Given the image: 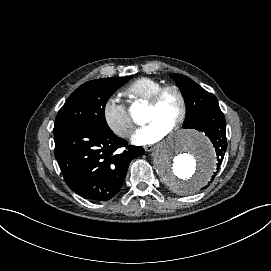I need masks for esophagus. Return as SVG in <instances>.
<instances>
[{
  "mask_svg": "<svg viewBox=\"0 0 271 271\" xmlns=\"http://www.w3.org/2000/svg\"><path fill=\"white\" fill-rule=\"evenodd\" d=\"M155 148H156V145H155V144H148V145H145V146H144V149H145V151H147V152H151V151H153Z\"/></svg>",
  "mask_w": 271,
  "mask_h": 271,
  "instance_id": "1",
  "label": "esophagus"
}]
</instances>
